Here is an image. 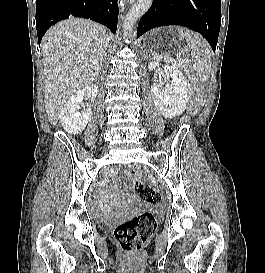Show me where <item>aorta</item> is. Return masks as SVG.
Listing matches in <instances>:
<instances>
[{
	"label": "aorta",
	"instance_id": "obj_1",
	"mask_svg": "<svg viewBox=\"0 0 265 273\" xmlns=\"http://www.w3.org/2000/svg\"><path fill=\"white\" fill-rule=\"evenodd\" d=\"M153 0H137L125 16L122 28L125 36L132 33L136 21L141 18L151 7Z\"/></svg>",
	"mask_w": 265,
	"mask_h": 273
}]
</instances>
